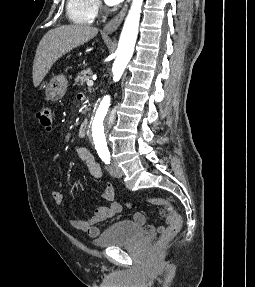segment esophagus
<instances>
[{"label":"esophagus","instance_id":"obj_1","mask_svg":"<svg viewBox=\"0 0 255 287\" xmlns=\"http://www.w3.org/2000/svg\"><path fill=\"white\" fill-rule=\"evenodd\" d=\"M130 0H126L124 6L122 7V9L120 10L119 13H117V15H115V17H113L109 22L106 23V25L103 28V32L111 34L113 32H115V30H117V28L121 25L122 20L124 19L127 9H128V4H129Z\"/></svg>","mask_w":255,"mask_h":287}]
</instances>
